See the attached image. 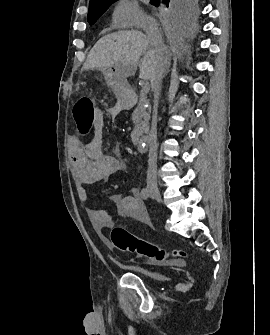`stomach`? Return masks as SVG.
<instances>
[{"label":"stomach","mask_w":270,"mask_h":335,"mask_svg":"<svg viewBox=\"0 0 270 335\" xmlns=\"http://www.w3.org/2000/svg\"><path fill=\"white\" fill-rule=\"evenodd\" d=\"M114 72H117V70H115L113 66H107V68H103V74H105L106 78H110L118 100H120L122 106H125V98L128 96L129 88L124 86L125 80H114Z\"/></svg>","instance_id":"stomach-1"}]
</instances>
